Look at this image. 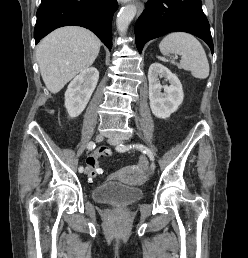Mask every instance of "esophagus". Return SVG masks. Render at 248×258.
Returning <instances> with one entry per match:
<instances>
[{
  "label": "esophagus",
  "instance_id": "34e87169",
  "mask_svg": "<svg viewBox=\"0 0 248 258\" xmlns=\"http://www.w3.org/2000/svg\"><path fill=\"white\" fill-rule=\"evenodd\" d=\"M136 6H137L138 14H140L144 9V5L142 2H137Z\"/></svg>",
  "mask_w": 248,
  "mask_h": 258
}]
</instances>
